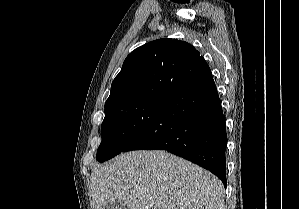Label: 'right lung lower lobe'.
Instances as JSON below:
<instances>
[{"label": "right lung lower lobe", "mask_w": 299, "mask_h": 209, "mask_svg": "<svg viewBox=\"0 0 299 209\" xmlns=\"http://www.w3.org/2000/svg\"><path fill=\"white\" fill-rule=\"evenodd\" d=\"M225 116L211 70L183 84L163 102L122 151L167 150L215 174L226 187Z\"/></svg>", "instance_id": "98d812e1"}]
</instances>
